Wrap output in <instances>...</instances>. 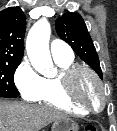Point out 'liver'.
<instances>
[{
  "label": "liver",
  "mask_w": 117,
  "mask_h": 131,
  "mask_svg": "<svg viewBox=\"0 0 117 131\" xmlns=\"http://www.w3.org/2000/svg\"><path fill=\"white\" fill-rule=\"evenodd\" d=\"M62 118L66 114L49 106L0 100V131H39Z\"/></svg>",
  "instance_id": "liver-1"
}]
</instances>
